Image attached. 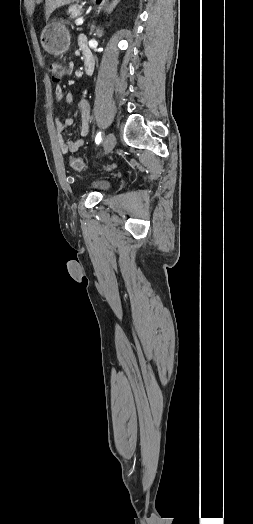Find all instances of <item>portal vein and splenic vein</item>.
Segmentation results:
<instances>
[{"label":"portal vein and splenic vein","mask_w":253,"mask_h":524,"mask_svg":"<svg viewBox=\"0 0 253 524\" xmlns=\"http://www.w3.org/2000/svg\"><path fill=\"white\" fill-rule=\"evenodd\" d=\"M83 22H84V19L82 17L77 18L76 21H75L76 25H82Z\"/></svg>","instance_id":"18ae733b"}]
</instances>
